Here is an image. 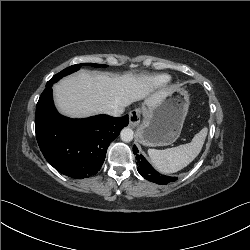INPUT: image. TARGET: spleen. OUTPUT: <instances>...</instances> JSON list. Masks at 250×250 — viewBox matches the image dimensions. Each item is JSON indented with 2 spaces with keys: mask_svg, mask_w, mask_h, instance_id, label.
I'll return each instance as SVG.
<instances>
[{
  "mask_svg": "<svg viewBox=\"0 0 250 250\" xmlns=\"http://www.w3.org/2000/svg\"><path fill=\"white\" fill-rule=\"evenodd\" d=\"M208 129L205 127L197 133L192 141L165 150L149 149L148 154L157 170L169 174L177 172L191 163L200 153Z\"/></svg>",
  "mask_w": 250,
  "mask_h": 250,
  "instance_id": "1",
  "label": "spleen"
}]
</instances>
